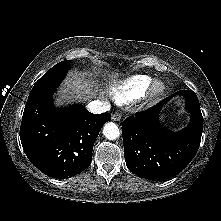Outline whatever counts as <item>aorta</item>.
I'll list each match as a JSON object with an SVG mask.
<instances>
[{"mask_svg":"<svg viewBox=\"0 0 221 221\" xmlns=\"http://www.w3.org/2000/svg\"><path fill=\"white\" fill-rule=\"evenodd\" d=\"M103 134L109 140H115L120 136L118 126L113 122H108L103 127Z\"/></svg>","mask_w":221,"mask_h":221,"instance_id":"1","label":"aorta"}]
</instances>
